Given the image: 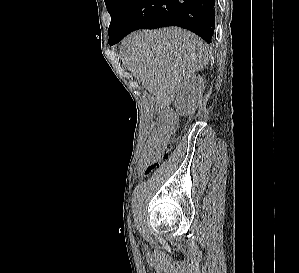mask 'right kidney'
<instances>
[{"label":"right kidney","mask_w":299,"mask_h":273,"mask_svg":"<svg viewBox=\"0 0 299 273\" xmlns=\"http://www.w3.org/2000/svg\"><path fill=\"white\" fill-rule=\"evenodd\" d=\"M205 79L200 75L191 74L179 86L175 106L179 114H192L202 97Z\"/></svg>","instance_id":"ca27d5eb"}]
</instances>
